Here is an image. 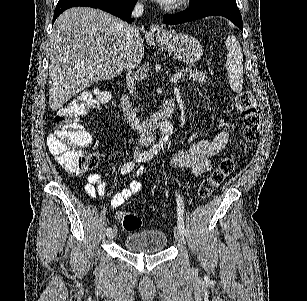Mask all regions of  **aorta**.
<instances>
[{
  "label": "aorta",
  "instance_id": "aorta-1",
  "mask_svg": "<svg viewBox=\"0 0 307 301\" xmlns=\"http://www.w3.org/2000/svg\"><path fill=\"white\" fill-rule=\"evenodd\" d=\"M159 128H160L159 142H157V144H154L153 151H160V148H163L164 142L168 140L170 134H172L173 132V124H171V122H166V120H163V122H160Z\"/></svg>",
  "mask_w": 307,
  "mask_h": 301
}]
</instances>
